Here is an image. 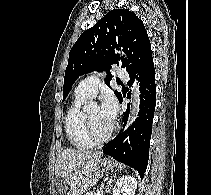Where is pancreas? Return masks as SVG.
<instances>
[{"label": "pancreas", "mask_w": 211, "mask_h": 195, "mask_svg": "<svg viewBox=\"0 0 211 195\" xmlns=\"http://www.w3.org/2000/svg\"><path fill=\"white\" fill-rule=\"evenodd\" d=\"M86 195H96V193L88 192Z\"/></svg>", "instance_id": "obj_1"}]
</instances>
